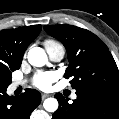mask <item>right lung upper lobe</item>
I'll return each mask as SVG.
<instances>
[{
    "mask_svg": "<svg viewBox=\"0 0 119 119\" xmlns=\"http://www.w3.org/2000/svg\"><path fill=\"white\" fill-rule=\"evenodd\" d=\"M41 28V25H32L0 31V70L20 68L25 50Z\"/></svg>",
    "mask_w": 119,
    "mask_h": 119,
    "instance_id": "1",
    "label": "right lung upper lobe"
}]
</instances>
